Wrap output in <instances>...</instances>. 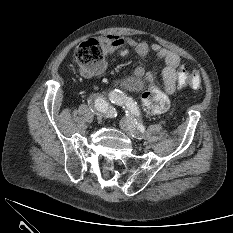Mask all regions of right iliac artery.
Segmentation results:
<instances>
[{
	"label": "right iliac artery",
	"mask_w": 233,
	"mask_h": 233,
	"mask_svg": "<svg viewBox=\"0 0 233 233\" xmlns=\"http://www.w3.org/2000/svg\"><path fill=\"white\" fill-rule=\"evenodd\" d=\"M88 103L91 107L95 108L96 110L105 113L108 116H114L115 109H113L109 103L103 98L102 96L98 94H94L90 96Z\"/></svg>",
	"instance_id": "82829eb1"
}]
</instances>
